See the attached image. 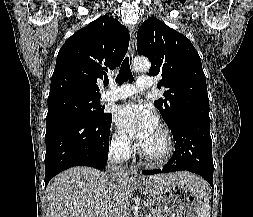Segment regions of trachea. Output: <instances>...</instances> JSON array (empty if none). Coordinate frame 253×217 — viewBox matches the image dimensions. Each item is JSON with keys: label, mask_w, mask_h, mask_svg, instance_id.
Listing matches in <instances>:
<instances>
[{"label": "trachea", "mask_w": 253, "mask_h": 217, "mask_svg": "<svg viewBox=\"0 0 253 217\" xmlns=\"http://www.w3.org/2000/svg\"><path fill=\"white\" fill-rule=\"evenodd\" d=\"M125 80H133V75L130 70L129 57H126L121 64L119 74L116 78V83H123Z\"/></svg>", "instance_id": "3493384b"}]
</instances>
